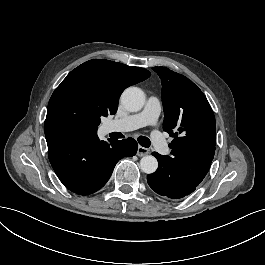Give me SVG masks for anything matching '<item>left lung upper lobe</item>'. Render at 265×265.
Returning a JSON list of instances; mask_svg holds the SVG:
<instances>
[{
  "label": "left lung upper lobe",
  "mask_w": 265,
  "mask_h": 265,
  "mask_svg": "<svg viewBox=\"0 0 265 265\" xmlns=\"http://www.w3.org/2000/svg\"><path fill=\"white\" fill-rule=\"evenodd\" d=\"M162 81L163 129L174 137L164 160L200 184L215 153L216 124L202 91L187 77L166 67L152 68Z\"/></svg>",
  "instance_id": "left-lung-upper-lobe-1"
}]
</instances>
